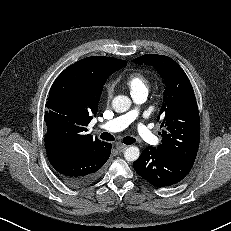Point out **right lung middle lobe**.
<instances>
[{
    "mask_svg": "<svg viewBox=\"0 0 231 231\" xmlns=\"http://www.w3.org/2000/svg\"><path fill=\"white\" fill-rule=\"evenodd\" d=\"M126 66V61H121L118 68ZM88 93V88L83 83L75 69L66 68L54 81L46 107L54 104H64L83 100Z\"/></svg>",
    "mask_w": 231,
    "mask_h": 231,
    "instance_id": "obj_1",
    "label": "right lung middle lobe"
}]
</instances>
